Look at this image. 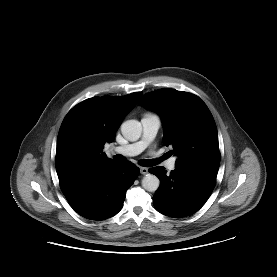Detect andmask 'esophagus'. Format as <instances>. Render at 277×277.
Listing matches in <instances>:
<instances>
[{"label":"esophagus","mask_w":277,"mask_h":277,"mask_svg":"<svg viewBox=\"0 0 277 277\" xmlns=\"http://www.w3.org/2000/svg\"><path fill=\"white\" fill-rule=\"evenodd\" d=\"M140 172L141 174L146 175L149 173V169L146 167H140Z\"/></svg>","instance_id":"34e87169"}]
</instances>
